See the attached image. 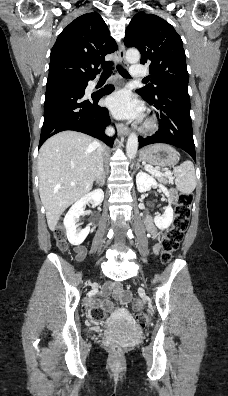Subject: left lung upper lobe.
<instances>
[{
	"label": "left lung upper lobe",
	"mask_w": 228,
	"mask_h": 396,
	"mask_svg": "<svg viewBox=\"0 0 228 396\" xmlns=\"http://www.w3.org/2000/svg\"><path fill=\"white\" fill-rule=\"evenodd\" d=\"M124 43L136 47L141 53V64L149 65L152 84L139 89L141 94L152 98L165 87L188 86L182 40L167 21L153 14L137 13L126 29Z\"/></svg>",
	"instance_id": "1"
}]
</instances>
